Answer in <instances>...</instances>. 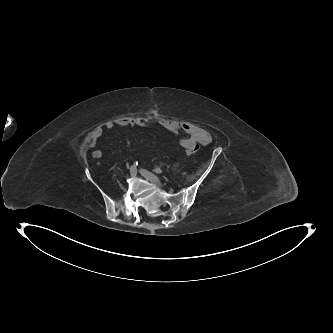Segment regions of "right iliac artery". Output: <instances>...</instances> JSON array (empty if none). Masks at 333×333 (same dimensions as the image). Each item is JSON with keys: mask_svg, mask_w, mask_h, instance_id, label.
<instances>
[{"mask_svg": "<svg viewBox=\"0 0 333 333\" xmlns=\"http://www.w3.org/2000/svg\"><path fill=\"white\" fill-rule=\"evenodd\" d=\"M137 165H138V162H135V163H134V167L136 168V167H137Z\"/></svg>", "mask_w": 333, "mask_h": 333, "instance_id": "obj_1", "label": "right iliac artery"}]
</instances>
